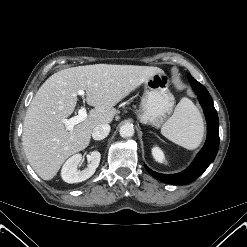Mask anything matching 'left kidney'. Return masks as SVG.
Returning <instances> with one entry per match:
<instances>
[{"label": "left kidney", "mask_w": 247, "mask_h": 247, "mask_svg": "<svg viewBox=\"0 0 247 247\" xmlns=\"http://www.w3.org/2000/svg\"><path fill=\"white\" fill-rule=\"evenodd\" d=\"M152 155L154 159L159 163H163L165 161L164 153L159 147L152 148Z\"/></svg>", "instance_id": "5707ae66"}]
</instances>
